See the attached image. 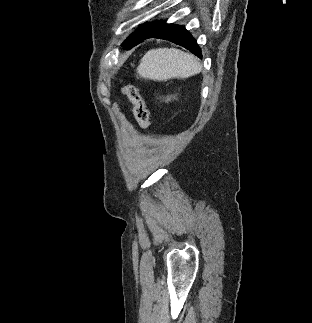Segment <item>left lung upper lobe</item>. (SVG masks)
Masks as SVG:
<instances>
[{
  "label": "left lung upper lobe",
  "instance_id": "5c2ea615",
  "mask_svg": "<svg viewBox=\"0 0 312 323\" xmlns=\"http://www.w3.org/2000/svg\"><path fill=\"white\" fill-rule=\"evenodd\" d=\"M159 21H155L152 23H148L137 29L134 33H132L124 42L123 46L125 48H131L141 42L143 38L149 34V32L152 30L154 25H156Z\"/></svg>",
  "mask_w": 312,
  "mask_h": 323
}]
</instances>
